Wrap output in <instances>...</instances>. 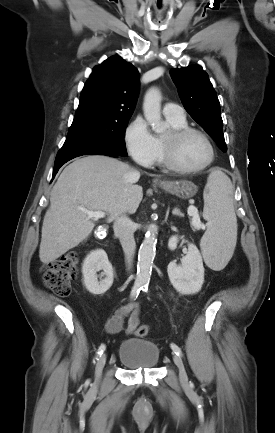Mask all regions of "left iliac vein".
<instances>
[{
    "label": "left iliac vein",
    "mask_w": 275,
    "mask_h": 433,
    "mask_svg": "<svg viewBox=\"0 0 275 433\" xmlns=\"http://www.w3.org/2000/svg\"><path fill=\"white\" fill-rule=\"evenodd\" d=\"M173 360H174V363H175V365L177 366V368L179 370L180 381L183 384H186L187 381H188V378H187V373H186V370H185V367H184L182 359L180 358V356L174 354L173 355Z\"/></svg>",
    "instance_id": "left-iliac-vein-1"
}]
</instances>
